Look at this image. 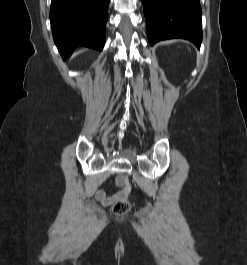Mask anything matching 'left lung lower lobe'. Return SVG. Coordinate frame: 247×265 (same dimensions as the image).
Masks as SVG:
<instances>
[{"mask_svg": "<svg viewBox=\"0 0 247 265\" xmlns=\"http://www.w3.org/2000/svg\"><path fill=\"white\" fill-rule=\"evenodd\" d=\"M150 45L183 38L198 48L202 41L199 0H142Z\"/></svg>", "mask_w": 247, "mask_h": 265, "instance_id": "0a47b994", "label": "left lung lower lobe"}]
</instances>
